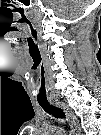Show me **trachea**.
Listing matches in <instances>:
<instances>
[{"mask_svg": "<svg viewBox=\"0 0 101 135\" xmlns=\"http://www.w3.org/2000/svg\"><path fill=\"white\" fill-rule=\"evenodd\" d=\"M40 105L42 106V108L48 112L49 114L54 115L55 117L58 118H64L65 114L63 112L62 109L54 107L52 105H50L49 103H40Z\"/></svg>", "mask_w": 101, "mask_h": 135, "instance_id": "3493384b", "label": "trachea"}]
</instances>
